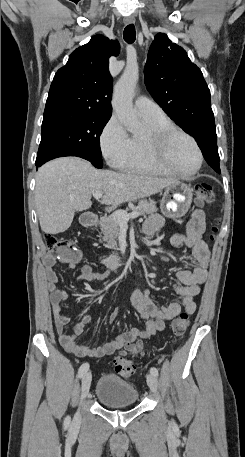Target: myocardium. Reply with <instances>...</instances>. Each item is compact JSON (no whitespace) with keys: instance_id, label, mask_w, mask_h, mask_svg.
<instances>
[{"instance_id":"myocardium-1","label":"myocardium","mask_w":245,"mask_h":457,"mask_svg":"<svg viewBox=\"0 0 245 457\" xmlns=\"http://www.w3.org/2000/svg\"><path fill=\"white\" fill-rule=\"evenodd\" d=\"M182 135L191 142V147L197 156V165L190 172H181L174 170L168 166L160 163L152 153V146L157 143L161 146L167 145L170 140L176 136ZM141 154L145 161L152 166L155 170L174 176L188 177L192 176L199 171L203 162L202 152L196 140L183 129L176 126H158L149 128L148 131L141 137Z\"/></svg>"}]
</instances>
